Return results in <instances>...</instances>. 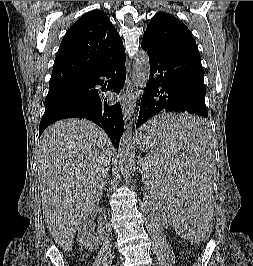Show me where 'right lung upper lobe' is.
<instances>
[{"label": "right lung upper lobe", "instance_id": "right-lung-upper-lobe-1", "mask_svg": "<svg viewBox=\"0 0 253 266\" xmlns=\"http://www.w3.org/2000/svg\"><path fill=\"white\" fill-rule=\"evenodd\" d=\"M125 57L122 39L99 10L83 15L65 34L50 79V85L80 82Z\"/></svg>", "mask_w": 253, "mask_h": 266}]
</instances>
